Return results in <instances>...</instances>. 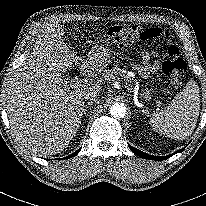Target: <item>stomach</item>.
<instances>
[{
    "mask_svg": "<svg viewBox=\"0 0 206 206\" xmlns=\"http://www.w3.org/2000/svg\"><path fill=\"white\" fill-rule=\"evenodd\" d=\"M104 52H106V54L108 55V59H109V56H110V51L109 49L107 48H104V47H100ZM153 97V91L150 89V88H144L142 90V93H141V98L146 100V101H149L151 100V98Z\"/></svg>",
    "mask_w": 206,
    "mask_h": 206,
    "instance_id": "1",
    "label": "stomach"
}]
</instances>
